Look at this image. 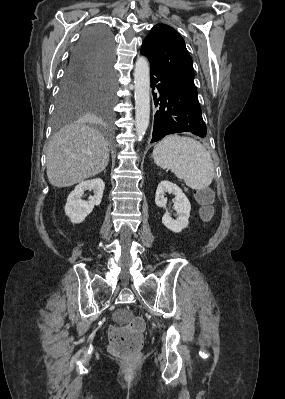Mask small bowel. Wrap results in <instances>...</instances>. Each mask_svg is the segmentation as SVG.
<instances>
[{"label": "small bowel", "mask_w": 285, "mask_h": 399, "mask_svg": "<svg viewBox=\"0 0 285 399\" xmlns=\"http://www.w3.org/2000/svg\"><path fill=\"white\" fill-rule=\"evenodd\" d=\"M207 192H208V194H210V193H211V191H210V190H207Z\"/></svg>", "instance_id": "c3829d8e"}]
</instances>
